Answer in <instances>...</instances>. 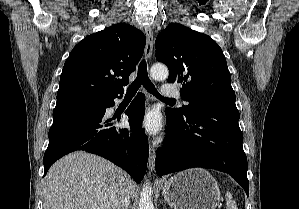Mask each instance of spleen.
<instances>
[{
  "label": "spleen",
  "instance_id": "obj_1",
  "mask_svg": "<svg viewBox=\"0 0 299 209\" xmlns=\"http://www.w3.org/2000/svg\"><path fill=\"white\" fill-rule=\"evenodd\" d=\"M226 209H238L236 202L232 199V195L230 192L226 193Z\"/></svg>",
  "mask_w": 299,
  "mask_h": 209
}]
</instances>
